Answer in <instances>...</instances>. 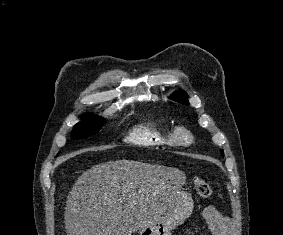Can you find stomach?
Segmentation results:
<instances>
[{"instance_id": "1", "label": "stomach", "mask_w": 283, "mask_h": 235, "mask_svg": "<svg viewBox=\"0 0 283 235\" xmlns=\"http://www.w3.org/2000/svg\"><path fill=\"white\" fill-rule=\"evenodd\" d=\"M194 202L190 194L177 190L168 207V211L161 217L138 231V235H171V231L182 224L192 213Z\"/></svg>"}]
</instances>
